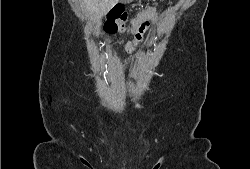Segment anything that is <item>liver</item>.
Instances as JSON below:
<instances>
[{"mask_svg": "<svg viewBox=\"0 0 250 169\" xmlns=\"http://www.w3.org/2000/svg\"><path fill=\"white\" fill-rule=\"evenodd\" d=\"M82 8L88 12V14H98L103 16L107 14L108 10L118 2V0H80Z\"/></svg>", "mask_w": 250, "mask_h": 169, "instance_id": "obj_1", "label": "liver"}]
</instances>
